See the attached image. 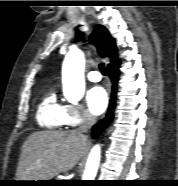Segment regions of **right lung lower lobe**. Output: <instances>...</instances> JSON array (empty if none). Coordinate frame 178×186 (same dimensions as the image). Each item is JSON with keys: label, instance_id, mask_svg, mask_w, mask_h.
I'll return each mask as SVG.
<instances>
[{"label": "right lung lower lobe", "instance_id": "obj_1", "mask_svg": "<svg viewBox=\"0 0 178 186\" xmlns=\"http://www.w3.org/2000/svg\"><path fill=\"white\" fill-rule=\"evenodd\" d=\"M118 69H119V65L106 68V72L113 83L112 96L110 99L109 108L105 118L102 119L99 123H97L93 127L92 134L94 138H96L99 135V133H101L104 130V128L107 127V125L112 121L114 117V109L116 106V85L118 82V75H119Z\"/></svg>", "mask_w": 178, "mask_h": 186}]
</instances>
